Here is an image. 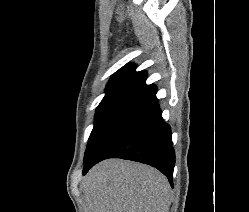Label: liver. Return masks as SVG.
Returning <instances> with one entry per match:
<instances>
[{
    "instance_id": "obj_1",
    "label": "liver",
    "mask_w": 249,
    "mask_h": 212,
    "mask_svg": "<svg viewBox=\"0 0 249 212\" xmlns=\"http://www.w3.org/2000/svg\"><path fill=\"white\" fill-rule=\"evenodd\" d=\"M84 212H168L170 184L158 170L128 162L103 160L82 182Z\"/></svg>"
}]
</instances>
